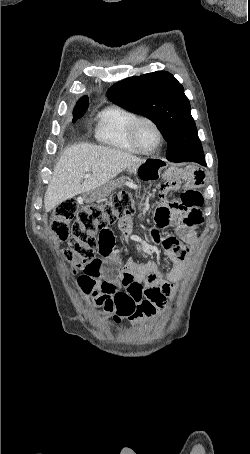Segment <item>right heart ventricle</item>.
I'll return each mask as SVG.
<instances>
[{
	"label": "right heart ventricle",
	"instance_id": "obj_1",
	"mask_svg": "<svg viewBox=\"0 0 250 454\" xmlns=\"http://www.w3.org/2000/svg\"><path fill=\"white\" fill-rule=\"evenodd\" d=\"M137 115L119 105H110L97 116L95 137L104 145L120 151L140 154L132 144L129 129Z\"/></svg>",
	"mask_w": 250,
	"mask_h": 454
}]
</instances>
